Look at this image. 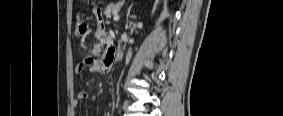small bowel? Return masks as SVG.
<instances>
[{
    "mask_svg": "<svg viewBox=\"0 0 283 116\" xmlns=\"http://www.w3.org/2000/svg\"><path fill=\"white\" fill-rule=\"evenodd\" d=\"M93 14L97 20V30H96V38L100 43H107L109 40V36L105 31V22L103 18L102 10L98 7L93 9ZM88 26L84 22H80L78 25L77 33L79 35H83L86 33ZM95 51H99V47L95 48ZM114 50L109 48L103 57L101 58H91L85 57L83 58L75 67V73L77 75H82V73L87 69L90 73H99L104 74L107 73L112 64L109 63V59H114ZM90 94L87 90H80L76 95V102L85 101L89 99Z\"/></svg>",
    "mask_w": 283,
    "mask_h": 116,
    "instance_id": "c3829d8e",
    "label": "small bowel"
}]
</instances>
